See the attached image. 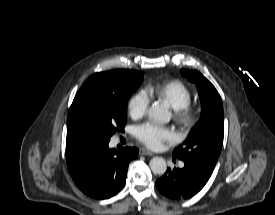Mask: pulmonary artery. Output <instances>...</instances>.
Masks as SVG:
<instances>
[{
  "instance_id": "e3ab8cb5",
  "label": "pulmonary artery",
  "mask_w": 275,
  "mask_h": 215,
  "mask_svg": "<svg viewBox=\"0 0 275 215\" xmlns=\"http://www.w3.org/2000/svg\"><path fill=\"white\" fill-rule=\"evenodd\" d=\"M180 166H183V163H180Z\"/></svg>"
}]
</instances>
